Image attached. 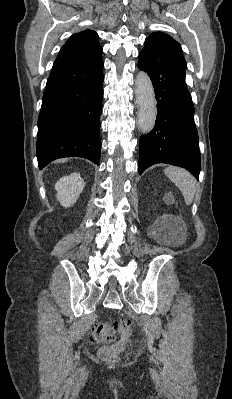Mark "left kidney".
<instances>
[{"instance_id":"1","label":"left kidney","mask_w":232,"mask_h":399,"mask_svg":"<svg viewBox=\"0 0 232 399\" xmlns=\"http://www.w3.org/2000/svg\"><path fill=\"white\" fill-rule=\"evenodd\" d=\"M152 227H154L155 231L163 233V235H168V233H181V231H185V223H183L182 219L166 217V215L158 217Z\"/></svg>"}]
</instances>
